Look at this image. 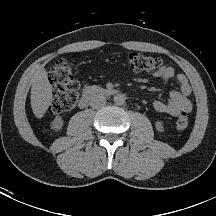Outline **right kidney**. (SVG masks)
I'll use <instances>...</instances> for the list:
<instances>
[{
  "label": "right kidney",
  "instance_id": "obj_1",
  "mask_svg": "<svg viewBox=\"0 0 216 216\" xmlns=\"http://www.w3.org/2000/svg\"><path fill=\"white\" fill-rule=\"evenodd\" d=\"M63 126V120L61 116H56L54 121L52 122V128L56 131H59L62 129Z\"/></svg>",
  "mask_w": 216,
  "mask_h": 216
}]
</instances>
